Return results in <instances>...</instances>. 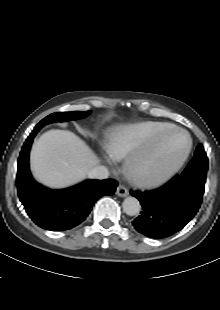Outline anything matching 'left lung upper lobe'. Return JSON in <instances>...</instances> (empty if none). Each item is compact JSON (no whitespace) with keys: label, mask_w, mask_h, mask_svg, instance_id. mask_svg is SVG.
Listing matches in <instances>:
<instances>
[{"label":"left lung upper lobe","mask_w":220,"mask_h":310,"mask_svg":"<svg viewBox=\"0 0 220 310\" xmlns=\"http://www.w3.org/2000/svg\"><path fill=\"white\" fill-rule=\"evenodd\" d=\"M208 170V158L202 144L196 148L194 157L182 172L183 176H202L206 177Z\"/></svg>","instance_id":"left-lung-upper-lobe-1"}]
</instances>
